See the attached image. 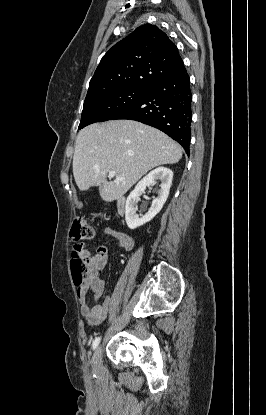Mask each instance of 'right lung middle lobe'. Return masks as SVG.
I'll list each match as a JSON object with an SVG mask.
<instances>
[{"label":"right lung middle lobe","instance_id":"obj_1","mask_svg":"<svg viewBox=\"0 0 266 415\" xmlns=\"http://www.w3.org/2000/svg\"><path fill=\"white\" fill-rule=\"evenodd\" d=\"M148 91L146 88L118 87L86 96L79 129L110 120L120 111L142 100Z\"/></svg>","mask_w":266,"mask_h":415}]
</instances>
